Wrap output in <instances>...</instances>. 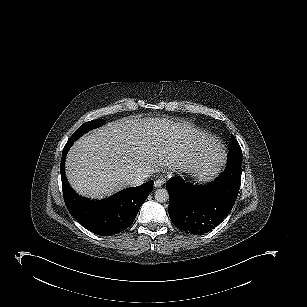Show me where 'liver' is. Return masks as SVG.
Masks as SVG:
<instances>
[{"label": "liver", "instance_id": "1", "mask_svg": "<svg viewBox=\"0 0 307 307\" xmlns=\"http://www.w3.org/2000/svg\"><path fill=\"white\" fill-rule=\"evenodd\" d=\"M216 156L211 140L193 128L122 118L76 141L67 154L65 169L78 194L101 199L128 187L137 175L171 169L177 161L198 176L216 174Z\"/></svg>", "mask_w": 307, "mask_h": 307}]
</instances>
